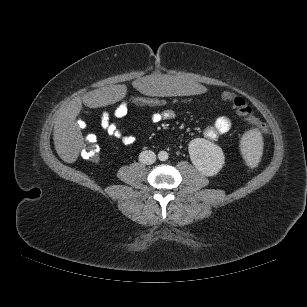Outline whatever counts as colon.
Instances as JSON below:
<instances>
[{"mask_svg":"<svg viewBox=\"0 0 307 307\" xmlns=\"http://www.w3.org/2000/svg\"><path fill=\"white\" fill-rule=\"evenodd\" d=\"M221 98L224 102L230 103L236 113L249 124L255 126L264 134L268 133L267 126L254 116L251 107L242 97L231 92H224ZM193 101L194 99L192 97L186 96L156 97L136 95L121 100L116 107L110 111V115L113 117L117 114L121 115L126 112L128 113L131 107H165L179 103H192ZM82 154L87 160L93 162H98L100 160V149L97 144V137L94 134L85 136Z\"/></svg>","mask_w":307,"mask_h":307,"instance_id":"colon-1","label":"colon"}]
</instances>
